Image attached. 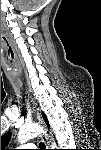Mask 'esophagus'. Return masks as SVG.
<instances>
[{
	"instance_id": "34e87169",
	"label": "esophagus",
	"mask_w": 101,
	"mask_h": 150,
	"mask_svg": "<svg viewBox=\"0 0 101 150\" xmlns=\"http://www.w3.org/2000/svg\"><path fill=\"white\" fill-rule=\"evenodd\" d=\"M33 105L35 108L36 118H37L38 122L43 125L44 123H43L42 116H41L40 112L38 111V108L36 107L35 103H33ZM41 138H42L43 142L45 143V145L48 146L46 130L43 132Z\"/></svg>"
}]
</instances>
